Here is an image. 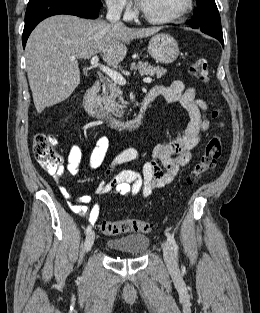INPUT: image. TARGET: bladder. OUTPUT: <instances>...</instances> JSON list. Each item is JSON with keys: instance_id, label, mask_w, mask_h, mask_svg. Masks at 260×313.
Instances as JSON below:
<instances>
[{"instance_id": "1", "label": "bladder", "mask_w": 260, "mask_h": 313, "mask_svg": "<svg viewBox=\"0 0 260 313\" xmlns=\"http://www.w3.org/2000/svg\"><path fill=\"white\" fill-rule=\"evenodd\" d=\"M149 245V237L143 234H130L107 242L110 250L126 252L133 257H140L144 254Z\"/></svg>"}]
</instances>
